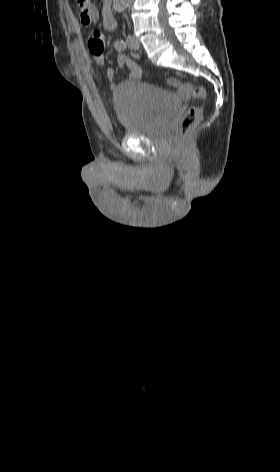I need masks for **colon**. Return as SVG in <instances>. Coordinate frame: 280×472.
Wrapping results in <instances>:
<instances>
[{
    "label": "colon",
    "mask_w": 280,
    "mask_h": 472,
    "mask_svg": "<svg viewBox=\"0 0 280 472\" xmlns=\"http://www.w3.org/2000/svg\"><path fill=\"white\" fill-rule=\"evenodd\" d=\"M76 6L79 11L81 24L89 27L96 18V9L90 0H76ZM192 97L195 101L201 103L205 100L206 91L201 86L192 89ZM202 115V107L198 105L191 106L181 118L179 123V135L185 139L189 136L194 126L199 122Z\"/></svg>",
    "instance_id": "5ec220e1"
}]
</instances>
